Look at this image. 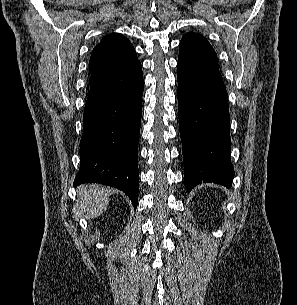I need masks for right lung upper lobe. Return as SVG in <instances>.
<instances>
[{
  "mask_svg": "<svg viewBox=\"0 0 297 305\" xmlns=\"http://www.w3.org/2000/svg\"><path fill=\"white\" fill-rule=\"evenodd\" d=\"M138 62L136 51L126 37L118 33L105 36L94 47L89 61L90 87L122 75Z\"/></svg>",
  "mask_w": 297,
  "mask_h": 305,
  "instance_id": "right-lung-upper-lobe-1",
  "label": "right lung upper lobe"
}]
</instances>
